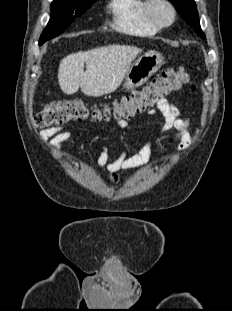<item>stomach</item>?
I'll use <instances>...</instances> for the list:
<instances>
[{
    "label": "stomach",
    "mask_w": 232,
    "mask_h": 311,
    "mask_svg": "<svg viewBox=\"0 0 232 311\" xmlns=\"http://www.w3.org/2000/svg\"><path fill=\"white\" fill-rule=\"evenodd\" d=\"M164 64V57L157 51H147L130 65L124 76L123 88L132 89L144 84Z\"/></svg>",
    "instance_id": "1"
}]
</instances>
